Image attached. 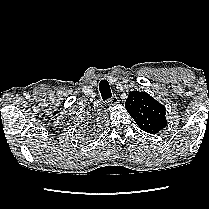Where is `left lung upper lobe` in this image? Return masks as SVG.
Segmentation results:
<instances>
[{
	"label": "left lung upper lobe",
	"instance_id": "1",
	"mask_svg": "<svg viewBox=\"0 0 209 209\" xmlns=\"http://www.w3.org/2000/svg\"><path fill=\"white\" fill-rule=\"evenodd\" d=\"M125 108L145 132L156 134L167 125L165 107L146 92H130Z\"/></svg>",
	"mask_w": 209,
	"mask_h": 209
}]
</instances>
